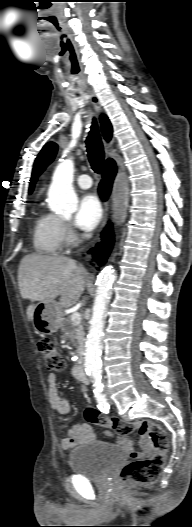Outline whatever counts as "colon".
<instances>
[{
	"label": "colon",
	"mask_w": 192,
	"mask_h": 527,
	"mask_svg": "<svg viewBox=\"0 0 192 527\" xmlns=\"http://www.w3.org/2000/svg\"><path fill=\"white\" fill-rule=\"evenodd\" d=\"M37 345L47 368L51 371L62 372L65 368V362L53 341L43 338L38 341ZM85 417L89 423L111 429L120 435L129 434L135 429L146 431L154 449L153 456L148 459L135 457L122 468L120 478L122 482L127 484L154 483L157 481L168 451V436L161 425L145 420L126 423L118 418L106 416L94 407L86 409Z\"/></svg>",
	"instance_id": "5ec220e1"
}]
</instances>
